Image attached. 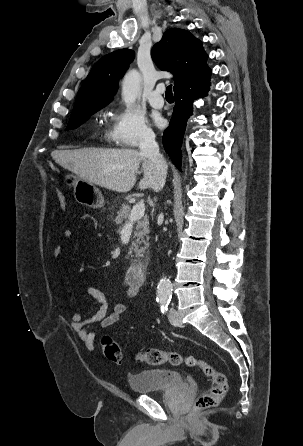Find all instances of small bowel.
<instances>
[{
	"label": "small bowel",
	"instance_id": "1",
	"mask_svg": "<svg viewBox=\"0 0 303 446\" xmlns=\"http://www.w3.org/2000/svg\"><path fill=\"white\" fill-rule=\"evenodd\" d=\"M65 239L69 240L75 236L72 229H65L63 232ZM55 258H59L62 254V245L58 244L53 249ZM86 294L97 303L96 310L88 317L83 318L78 312L71 314V325L78 337L84 342L87 348L93 349L95 346V334L89 329L90 325L98 324L100 327H108L116 323L120 317L126 312L127 304L125 301H119L114 304L113 309L109 312L107 297L103 291L94 287L86 286ZM139 286L128 284L125 292L126 300H134L138 297Z\"/></svg>",
	"mask_w": 303,
	"mask_h": 446
}]
</instances>
